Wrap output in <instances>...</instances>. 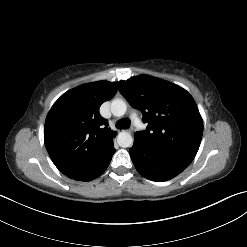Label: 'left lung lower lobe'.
<instances>
[{"label":"left lung lower lobe","instance_id":"0a47b994","mask_svg":"<svg viewBox=\"0 0 247 247\" xmlns=\"http://www.w3.org/2000/svg\"><path fill=\"white\" fill-rule=\"evenodd\" d=\"M129 153L137 171L152 181L170 180L185 169L163 159L160 155L135 141Z\"/></svg>","mask_w":247,"mask_h":247}]
</instances>
